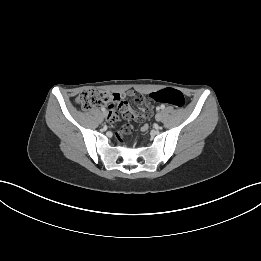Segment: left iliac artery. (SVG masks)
Segmentation results:
<instances>
[{"label":"left iliac artery","mask_w":261,"mask_h":261,"mask_svg":"<svg viewBox=\"0 0 261 261\" xmlns=\"http://www.w3.org/2000/svg\"><path fill=\"white\" fill-rule=\"evenodd\" d=\"M164 108H165V105L162 104V105L160 106V109H164Z\"/></svg>","instance_id":"44dca946"}]
</instances>
